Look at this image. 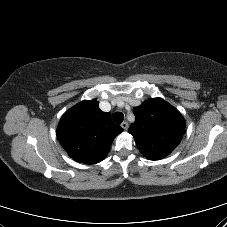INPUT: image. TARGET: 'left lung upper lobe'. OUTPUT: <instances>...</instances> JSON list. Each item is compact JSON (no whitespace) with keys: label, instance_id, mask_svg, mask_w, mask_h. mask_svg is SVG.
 Returning a JSON list of instances; mask_svg holds the SVG:
<instances>
[{"label":"left lung upper lobe","instance_id":"left-lung-upper-lobe-1","mask_svg":"<svg viewBox=\"0 0 227 227\" xmlns=\"http://www.w3.org/2000/svg\"><path fill=\"white\" fill-rule=\"evenodd\" d=\"M133 112L136 120L128 132L146 158L162 159L180 143L186 122L181 113L163 99L147 100Z\"/></svg>","mask_w":227,"mask_h":227}]
</instances>
